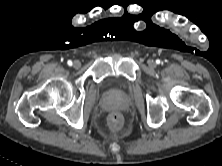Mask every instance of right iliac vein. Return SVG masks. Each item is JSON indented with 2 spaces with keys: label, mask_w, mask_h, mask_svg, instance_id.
Returning a JSON list of instances; mask_svg holds the SVG:
<instances>
[{
  "label": "right iliac vein",
  "mask_w": 222,
  "mask_h": 166,
  "mask_svg": "<svg viewBox=\"0 0 222 166\" xmlns=\"http://www.w3.org/2000/svg\"><path fill=\"white\" fill-rule=\"evenodd\" d=\"M73 66H74V68H76V69L80 68V67H81L80 61H78V60L74 61Z\"/></svg>",
  "instance_id": "63e3f726"
}]
</instances>
